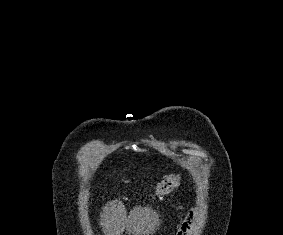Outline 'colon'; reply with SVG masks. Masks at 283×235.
Returning <instances> with one entry per match:
<instances>
[{"label": "colon", "mask_w": 283, "mask_h": 235, "mask_svg": "<svg viewBox=\"0 0 283 235\" xmlns=\"http://www.w3.org/2000/svg\"><path fill=\"white\" fill-rule=\"evenodd\" d=\"M181 182L180 174H170L165 176L157 185L152 198L161 197L168 194Z\"/></svg>", "instance_id": "obj_1"}]
</instances>
